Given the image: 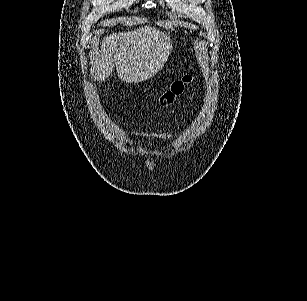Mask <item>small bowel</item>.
<instances>
[{
	"mask_svg": "<svg viewBox=\"0 0 307 301\" xmlns=\"http://www.w3.org/2000/svg\"><path fill=\"white\" fill-rule=\"evenodd\" d=\"M160 137L164 140H168L172 138V132L170 131H164L160 133Z\"/></svg>",
	"mask_w": 307,
	"mask_h": 301,
	"instance_id": "1",
	"label": "small bowel"
}]
</instances>
